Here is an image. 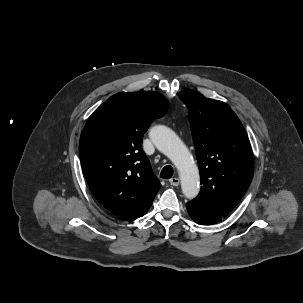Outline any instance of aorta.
Returning <instances> with one entry per match:
<instances>
[{
  "label": "aorta",
  "instance_id": "aorta-1",
  "mask_svg": "<svg viewBox=\"0 0 303 303\" xmlns=\"http://www.w3.org/2000/svg\"><path fill=\"white\" fill-rule=\"evenodd\" d=\"M149 136L156 148L169 157L179 170L184 196L195 198L200 191L199 171L185 144L173 130L163 125L152 127Z\"/></svg>",
  "mask_w": 303,
  "mask_h": 303
}]
</instances>
